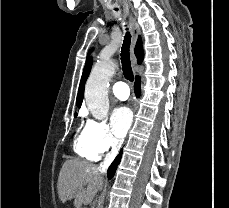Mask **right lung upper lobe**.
Segmentation results:
<instances>
[{
  "mask_svg": "<svg viewBox=\"0 0 229 208\" xmlns=\"http://www.w3.org/2000/svg\"><path fill=\"white\" fill-rule=\"evenodd\" d=\"M135 55L138 59V64H141L143 57H144V53H143V49H142V41H141V37L139 36L138 41H137V45L135 48ZM91 65H92V58H90L87 62L86 65L84 67V71L82 74V78H81V82H80V86H79V91H78V95H77V101H76V105L80 108L83 97H84V86H85V82L88 78V75L90 73L91 70ZM77 116V113H75V117Z\"/></svg>",
  "mask_w": 229,
  "mask_h": 208,
  "instance_id": "obj_1",
  "label": "right lung upper lobe"
}]
</instances>
